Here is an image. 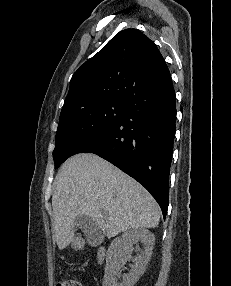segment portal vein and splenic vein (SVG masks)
Returning a JSON list of instances; mask_svg holds the SVG:
<instances>
[{
    "instance_id": "portal-vein-and-splenic-vein-1",
    "label": "portal vein and splenic vein",
    "mask_w": 231,
    "mask_h": 286,
    "mask_svg": "<svg viewBox=\"0 0 231 286\" xmlns=\"http://www.w3.org/2000/svg\"><path fill=\"white\" fill-rule=\"evenodd\" d=\"M102 212L105 213V209H103Z\"/></svg>"
}]
</instances>
